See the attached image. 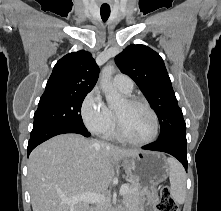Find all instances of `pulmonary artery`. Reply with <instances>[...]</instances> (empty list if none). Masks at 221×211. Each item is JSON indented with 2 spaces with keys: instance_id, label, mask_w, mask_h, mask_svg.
Wrapping results in <instances>:
<instances>
[{
  "instance_id": "1",
  "label": "pulmonary artery",
  "mask_w": 221,
  "mask_h": 211,
  "mask_svg": "<svg viewBox=\"0 0 221 211\" xmlns=\"http://www.w3.org/2000/svg\"><path fill=\"white\" fill-rule=\"evenodd\" d=\"M113 84L123 93L129 94L133 90V81L132 79L125 74H116L113 78Z\"/></svg>"
}]
</instances>
